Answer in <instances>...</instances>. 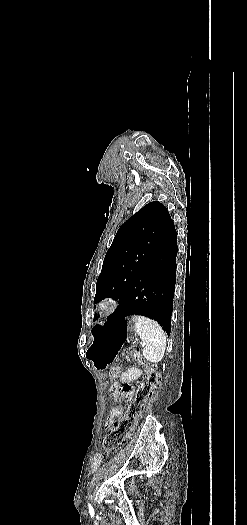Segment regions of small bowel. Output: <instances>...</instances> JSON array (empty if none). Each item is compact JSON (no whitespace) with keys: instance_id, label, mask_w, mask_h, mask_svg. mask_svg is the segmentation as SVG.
I'll list each match as a JSON object with an SVG mask.
<instances>
[{"instance_id":"small-bowel-1","label":"small bowel","mask_w":247,"mask_h":525,"mask_svg":"<svg viewBox=\"0 0 247 525\" xmlns=\"http://www.w3.org/2000/svg\"><path fill=\"white\" fill-rule=\"evenodd\" d=\"M142 374L143 372L139 368H130L122 374L121 383L123 384V383L132 382L140 378ZM121 383L118 381L114 382L111 387V390L118 388L121 385ZM124 412H125L124 406L122 405L115 406L108 416V419L106 421V427L107 428L111 427L115 423V421L124 414ZM102 459H103V454L101 453H98L94 456L92 460V465H91L93 470H97L100 467Z\"/></svg>"}]
</instances>
